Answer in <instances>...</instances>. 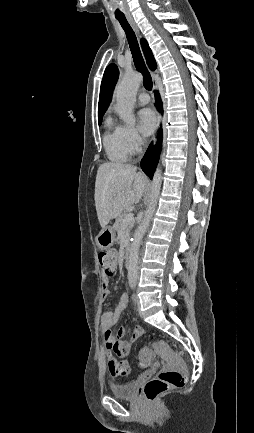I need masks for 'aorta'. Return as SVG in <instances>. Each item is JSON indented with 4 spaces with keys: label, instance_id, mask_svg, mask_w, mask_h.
<instances>
[{
    "label": "aorta",
    "instance_id": "1",
    "mask_svg": "<svg viewBox=\"0 0 254 433\" xmlns=\"http://www.w3.org/2000/svg\"><path fill=\"white\" fill-rule=\"evenodd\" d=\"M142 75L135 72H127L119 83L116 90V105L117 112L120 118L126 124H133L135 122L133 107L135 103L136 92L142 83ZM162 184V172L158 166L151 183L150 202L145 212L144 219L139 224L133 236V242L129 255L128 264V280L129 282H136L138 279V251L142 238L149 226L150 220L155 212L158 197L160 194Z\"/></svg>",
    "mask_w": 254,
    "mask_h": 433
}]
</instances>
